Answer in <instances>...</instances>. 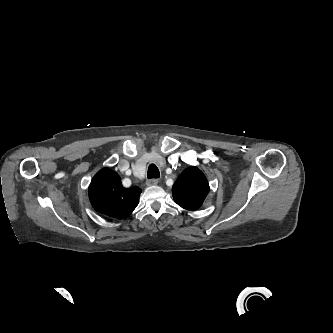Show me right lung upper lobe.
Wrapping results in <instances>:
<instances>
[{
    "instance_id": "cb5924a9",
    "label": "right lung upper lobe",
    "mask_w": 333,
    "mask_h": 333,
    "mask_svg": "<svg viewBox=\"0 0 333 333\" xmlns=\"http://www.w3.org/2000/svg\"><path fill=\"white\" fill-rule=\"evenodd\" d=\"M89 199L93 208L104 215L124 219L139 202V187L124 188L120 176L108 169L100 170L91 180Z\"/></svg>"
}]
</instances>
